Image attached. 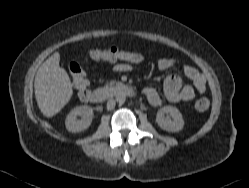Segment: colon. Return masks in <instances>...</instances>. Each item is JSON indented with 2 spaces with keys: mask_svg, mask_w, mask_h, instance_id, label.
<instances>
[{
  "mask_svg": "<svg viewBox=\"0 0 249 188\" xmlns=\"http://www.w3.org/2000/svg\"><path fill=\"white\" fill-rule=\"evenodd\" d=\"M132 56L128 51H121L116 47H110L106 50H93L89 55L83 58L84 62L88 61H118L128 60ZM69 71L72 79V85L77 91L80 98L86 99L89 92V82L86 78V74L79 61H72L69 64ZM195 107L198 111L204 112L209 107V100L206 97H201L196 101Z\"/></svg>",
  "mask_w": 249,
  "mask_h": 188,
  "instance_id": "1",
  "label": "colon"
}]
</instances>
